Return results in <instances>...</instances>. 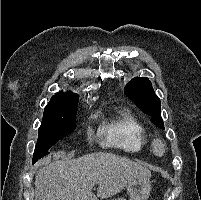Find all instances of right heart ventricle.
Masks as SVG:
<instances>
[{"mask_svg":"<svg viewBox=\"0 0 201 200\" xmlns=\"http://www.w3.org/2000/svg\"><path fill=\"white\" fill-rule=\"evenodd\" d=\"M103 134L106 145L129 153H139L150 144L144 125L127 110L119 111L107 122Z\"/></svg>","mask_w":201,"mask_h":200,"instance_id":"1","label":"right heart ventricle"}]
</instances>
